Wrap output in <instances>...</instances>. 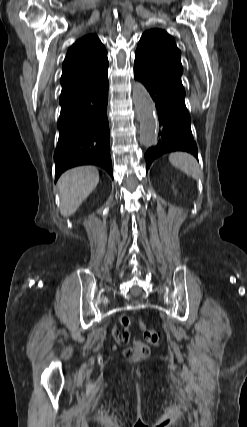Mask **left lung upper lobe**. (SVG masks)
<instances>
[{
    "instance_id": "obj_1",
    "label": "left lung upper lobe",
    "mask_w": 247,
    "mask_h": 427,
    "mask_svg": "<svg viewBox=\"0 0 247 427\" xmlns=\"http://www.w3.org/2000/svg\"><path fill=\"white\" fill-rule=\"evenodd\" d=\"M181 52L174 39L161 29H151L142 35L135 54V61L170 86L184 91L181 75Z\"/></svg>"
}]
</instances>
